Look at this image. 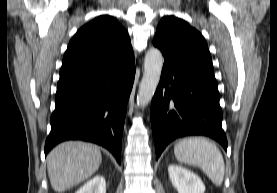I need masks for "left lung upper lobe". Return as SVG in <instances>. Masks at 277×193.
Returning <instances> with one entry per match:
<instances>
[{
  "label": "left lung upper lobe",
  "mask_w": 277,
  "mask_h": 193,
  "mask_svg": "<svg viewBox=\"0 0 277 193\" xmlns=\"http://www.w3.org/2000/svg\"><path fill=\"white\" fill-rule=\"evenodd\" d=\"M153 44L162 51L166 60L213 69L205 39L182 19L174 16L163 17L157 27Z\"/></svg>",
  "instance_id": "obj_1"
}]
</instances>
